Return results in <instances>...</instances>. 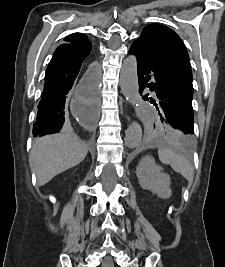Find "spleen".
<instances>
[{"label": "spleen", "instance_id": "3e777b00", "mask_svg": "<svg viewBox=\"0 0 225 267\" xmlns=\"http://www.w3.org/2000/svg\"><path fill=\"white\" fill-rule=\"evenodd\" d=\"M158 157L163 164L170 165L175 172L180 173L186 180L193 181L194 170L190 160L186 157L164 147L159 148Z\"/></svg>", "mask_w": 225, "mask_h": 267}]
</instances>
